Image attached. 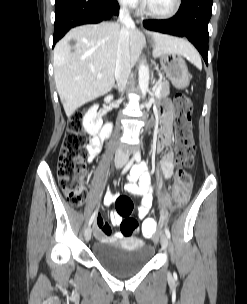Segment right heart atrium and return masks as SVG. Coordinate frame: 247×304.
<instances>
[{
	"label": "right heart atrium",
	"instance_id": "d8ad5b80",
	"mask_svg": "<svg viewBox=\"0 0 247 304\" xmlns=\"http://www.w3.org/2000/svg\"><path fill=\"white\" fill-rule=\"evenodd\" d=\"M120 6L126 9H134L138 7L140 0H117Z\"/></svg>",
	"mask_w": 247,
	"mask_h": 304
}]
</instances>
